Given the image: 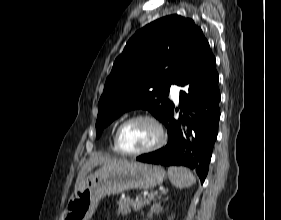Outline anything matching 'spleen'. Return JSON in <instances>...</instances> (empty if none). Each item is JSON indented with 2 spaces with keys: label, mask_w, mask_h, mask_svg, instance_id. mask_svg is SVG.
I'll list each match as a JSON object with an SVG mask.
<instances>
[{
  "label": "spleen",
  "mask_w": 281,
  "mask_h": 220,
  "mask_svg": "<svg viewBox=\"0 0 281 220\" xmlns=\"http://www.w3.org/2000/svg\"><path fill=\"white\" fill-rule=\"evenodd\" d=\"M168 176L173 185L186 188L196 183L193 173L186 167L171 166L168 168Z\"/></svg>",
  "instance_id": "obj_1"
}]
</instances>
